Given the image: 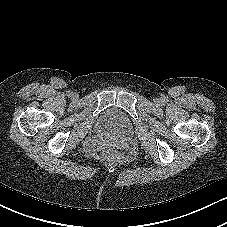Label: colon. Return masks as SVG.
I'll return each mask as SVG.
<instances>
[{"label": "colon", "mask_w": 227, "mask_h": 227, "mask_svg": "<svg viewBox=\"0 0 227 227\" xmlns=\"http://www.w3.org/2000/svg\"><path fill=\"white\" fill-rule=\"evenodd\" d=\"M102 158L106 162H116L121 160H127L128 156L112 149L104 153Z\"/></svg>", "instance_id": "obj_1"}]
</instances>
